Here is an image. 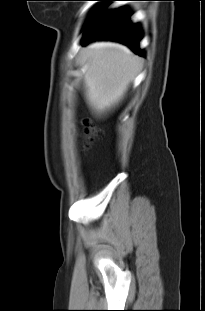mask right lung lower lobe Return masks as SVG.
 Returning a JSON list of instances; mask_svg holds the SVG:
<instances>
[{
  "label": "right lung lower lobe",
  "instance_id": "right-lung-lower-lobe-1",
  "mask_svg": "<svg viewBox=\"0 0 205 311\" xmlns=\"http://www.w3.org/2000/svg\"><path fill=\"white\" fill-rule=\"evenodd\" d=\"M114 1V0H101ZM96 12L86 25L82 45L93 40H115L128 45L135 53L143 55L139 49L142 33L138 25L129 20L130 14L124 9H114L101 13Z\"/></svg>",
  "mask_w": 205,
  "mask_h": 311
}]
</instances>
